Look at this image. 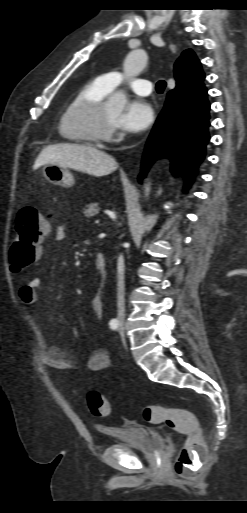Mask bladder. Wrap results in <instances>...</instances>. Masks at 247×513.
Returning <instances> with one entry per match:
<instances>
[{"instance_id":"31cf9c89","label":"bladder","mask_w":247,"mask_h":513,"mask_svg":"<svg viewBox=\"0 0 247 513\" xmlns=\"http://www.w3.org/2000/svg\"><path fill=\"white\" fill-rule=\"evenodd\" d=\"M100 431L112 437V446L130 447L146 455H154L164 449L163 437L156 431L143 427H102Z\"/></svg>"}]
</instances>
